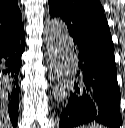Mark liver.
Returning a JSON list of instances; mask_svg holds the SVG:
<instances>
[{
  "instance_id": "obj_1",
  "label": "liver",
  "mask_w": 125,
  "mask_h": 128,
  "mask_svg": "<svg viewBox=\"0 0 125 128\" xmlns=\"http://www.w3.org/2000/svg\"><path fill=\"white\" fill-rule=\"evenodd\" d=\"M0 128H10L7 118L6 91L0 85Z\"/></svg>"
}]
</instances>
